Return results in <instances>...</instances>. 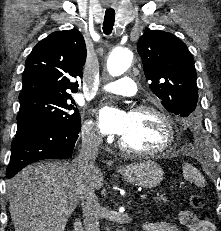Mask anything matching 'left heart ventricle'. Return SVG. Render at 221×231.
<instances>
[{"label": "left heart ventricle", "instance_id": "b2bd125f", "mask_svg": "<svg viewBox=\"0 0 221 231\" xmlns=\"http://www.w3.org/2000/svg\"><path fill=\"white\" fill-rule=\"evenodd\" d=\"M121 139L130 148L156 149L166 141V127L154 114L130 113L128 128Z\"/></svg>", "mask_w": 221, "mask_h": 231}]
</instances>
